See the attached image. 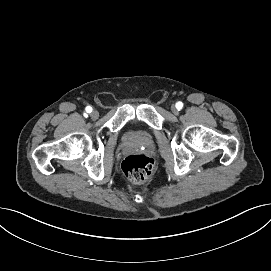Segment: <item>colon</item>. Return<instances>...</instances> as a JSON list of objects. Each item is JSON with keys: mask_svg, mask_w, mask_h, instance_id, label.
I'll use <instances>...</instances> for the list:
<instances>
[{"mask_svg": "<svg viewBox=\"0 0 271 271\" xmlns=\"http://www.w3.org/2000/svg\"><path fill=\"white\" fill-rule=\"evenodd\" d=\"M154 160L146 155L127 156L121 165L124 175L134 182L148 179L154 172Z\"/></svg>", "mask_w": 271, "mask_h": 271, "instance_id": "5ec220e1", "label": "colon"}]
</instances>
